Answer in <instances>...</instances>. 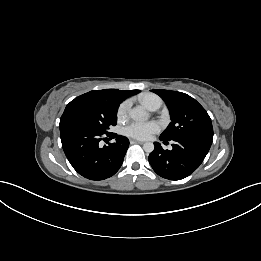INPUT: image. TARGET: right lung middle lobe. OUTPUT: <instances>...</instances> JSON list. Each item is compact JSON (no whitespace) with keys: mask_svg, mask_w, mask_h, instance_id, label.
Listing matches in <instances>:
<instances>
[{"mask_svg":"<svg viewBox=\"0 0 261 261\" xmlns=\"http://www.w3.org/2000/svg\"><path fill=\"white\" fill-rule=\"evenodd\" d=\"M119 103L108 94L93 90L76 97L65 108L60 127H79L107 134L117 123Z\"/></svg>","mask_w":261,"mask_h":261,"instance_id":"1","label":"right lung middle lobe"}]
</instances>
